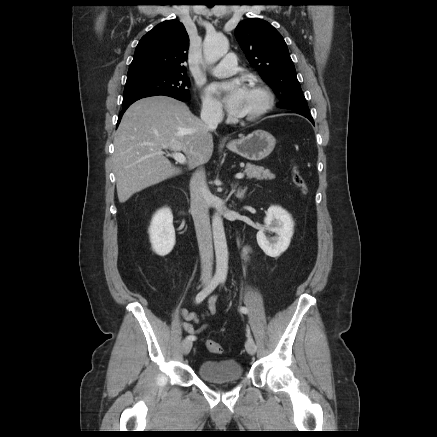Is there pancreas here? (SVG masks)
Masks as SVG:
<instances>
[{"label": "pancreas", "instance_id": "1", "mask_svg": "<svg viewBox=\"0 0 437 437\" xmlns=\"http://www.w3.org/2000/svg\"><path fill=\"white\" fill-rule=\"evenodd\" d=\"M249 179L256 178L257 180H272L275 179V175L270 172L269 169H265L261 166H255L250 163L246 164L244 171Z\"/></svg>", "mask_w": 437, "mask_h": 437}]
</instances>
